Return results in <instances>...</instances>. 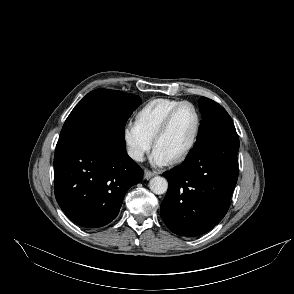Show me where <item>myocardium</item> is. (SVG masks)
I'll list each match as a JSON object with an SVG mask.
<instances>
[{"instance_id": "obj_1", "label": "myocardium", "mask_w": 294, "mask_h": 294, "mask_svg": "<svg viewBox=\"0 0 294 294\" xmlns=\"http://www.w3.org/2000/svg\"><path fill=\"white\" fill-rule=\"evenodd\" d=\"M184 106H189L192 108L195 117H196V126H195V130L192 136L191 141L189 142L188 146L185 148V150L178 155L176 158H174L173 160H171V162L173 164H177L180 163L182 161H184L193 151V149L195 148L198 139L200 137V133H201V128H202V117H201V113L198 109V107L190 101H181L180 103H178L177 105H175L164 117L163 121L161 122L160 126L158 127L157 131L155 132V135L153 137V146L155 147L158 140L167 132V130L169 129L172 120L174 118V116L176 115V113Z\"/></svg>"}]
</instances>
